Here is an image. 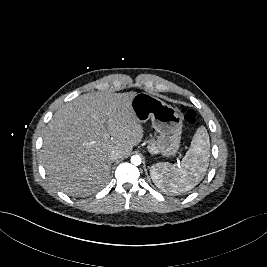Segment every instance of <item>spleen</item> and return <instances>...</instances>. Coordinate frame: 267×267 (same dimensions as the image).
Returning a JSON list of instances; mask_svg holds the SVG:
<instances>
[{"instance_id":"obj_1","label":"spleen","mask_w":267,"mask_h":267,"mask_svg":"<svg viewBox=\"0 0 267 267\" xmlns=\"http://www.w3.org/2000/svg\"><path fill=\"white\" fill-rule=\"evenodd\" d=\"M210 157L209 135L205 127L197 129L181 165L157 164L150 170L154 184L164 192L181 194L194 188L204 177Z\"/></svg>"}]
</instances>
